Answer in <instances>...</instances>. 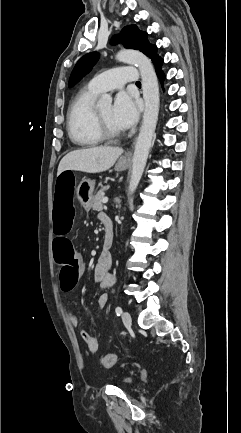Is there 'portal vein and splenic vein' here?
Here are the masks:
<instances>
[{"instance_id":"1","label":"portal vein and splenic vein","mask_w":241,"mask_h":433,"mask_svg":"<svg viewBox=\"0 0 241 433\" xmlns=\"http://www.w3.org/2000/svg\"><path fill=\"white\" fill-rule=\"evenodd\" d=\"M107 202H108V198H107V197H104L103 200H102V203H103V204H106Z\"/></svg>"}]
</instances>
